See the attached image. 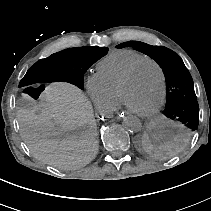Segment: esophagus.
<instances>
[{"label":"esophagus","mask_w":211,"mask_h":211,"mask_svg":"<svg viewBox=\"0 0 211 211\" xmlns=\"http://www.w3.org/2000/svg\"><path fill=\"white\" fill-rule=\"evenodd\" d=\"M127 117V112L124 111V110H119L115 113V118L116 119H123V118H126Z\"/></svg>","instance_id":"1"}]
</instances>
